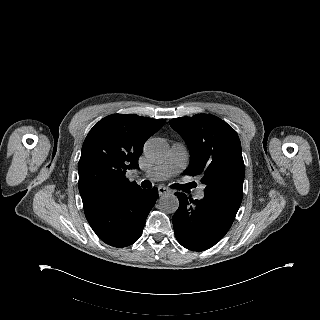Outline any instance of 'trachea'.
<instances>
[{
    "label": "trachea",
    "mask_w": 320,
    "mask_h": 320,
    "mask_svg": "<svg viewBox=\"0 0 320 320\" xmlns=\"http://www.w3.org/2000/svg\"><path fill=\"white\" fill-rule=\"evenodd\" d=\"M141 186H142L143 188H151V187H152V184H151L150 181L145 180V181H143V182L141 183Z\"/></svg>",
    "instance_id": "1"
}]
</instances>
